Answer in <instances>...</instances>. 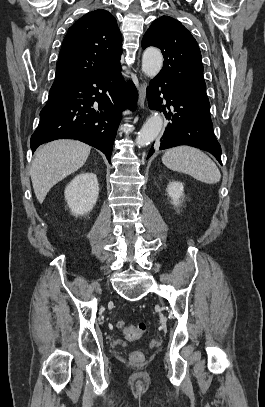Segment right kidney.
I'll return each instance as SVG.
<instances>
[{"label": "right kidney", "mask_w": 265, "mask_h": 407, "mask_svg": "<svg viewBox=\"0 0 265 407\" xmlns=\"http://www.w3.org/2000/svg\"><path fill=\"white\" fill-rule=\"evenodd\" d=\"M65 200L75 216L87 214L96 204L99 184L94 173L77 175L65 188Z\"/></svg>", "instance_id": "1"}]
</instances>
